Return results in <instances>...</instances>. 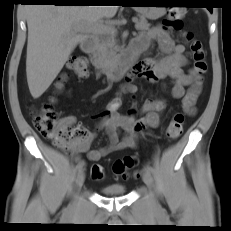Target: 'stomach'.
Listing matches in <instances>:
<instances>
[{
	"instance_id": "1",
	"label": "stomach",
	"mask_w": 231,
	"mask_h": 231,
	"mask_svg": "<svg viewBox=\"0 0 231 231\" xmlns=\"http://www.w3.org/2000/svg\"><path fill=\"white\" fill-rule=\"evenodd\" d=\"M153 5H145V7H136L137 12H139L141 15L149 18V19H156L160 16H162L166 8L165 7H152Z\"/></svg>"
}]
</instances>
